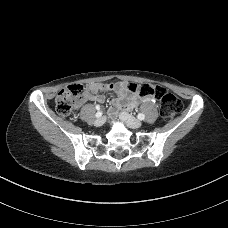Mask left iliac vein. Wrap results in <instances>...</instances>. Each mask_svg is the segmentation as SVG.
<instances>
[{
	"label": "left iliac vein",
	"mask_w": 228,
	"mask_h": 228,
	"mask_svg": "<svg viewBox=\"0 0 228 228\" xmlns=\"http://www.w3.org/2000/svg\"><path fill=\"white\" fill-rule=\"evenodd\" d=\"M120 118L128 123V125L132 128H140L142 126V122L136 118H134L133 116H131L130 114L126 113V112H121L120 113Z\"/></svg>",
	"instance_id": "1"
}]
</instances>
